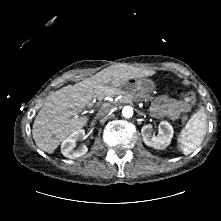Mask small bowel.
Masks as SVG:
<instances>
[{
    "label": "small bowel",
    "mask_w": 221,
    "mask_h": 221,
    "mask_svg": "<svg viewBox=\"0 0 221 221\" xmlns=\"http://www.w3.org/2000/svg\"><path fill=\"white\" fill-rule=\"evenodd\" d=\"M190 109L182 100H177L167 95L157 97L151 106L152 115L156 118L168 117L177 119L181 113L188 112Z\"/></svg>",
    "instance_id": "1"
}]
</instances>
